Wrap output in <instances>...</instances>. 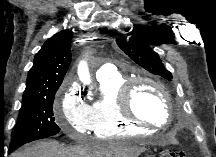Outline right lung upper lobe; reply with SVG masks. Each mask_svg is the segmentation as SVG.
Masks as SVG:
<instances>
[{
	"instance_id": "cb5924a9",
	"label": "right lung upper lobe",
	"mask_w": 216,
	"mask_h": 157,
	"mask_svg": "<svg viewBox=\"0 0 216 157\" xmlns=\"http://www.w3.org/2000/svg\"><path fill=\"white\" fill-rule=\"evenodd\" d=\"M72 36L62 30L44 43L28 72L23 98L58 90L71 62Z\"/></svg>"
}]
</instances>
